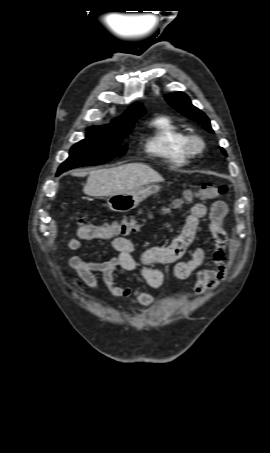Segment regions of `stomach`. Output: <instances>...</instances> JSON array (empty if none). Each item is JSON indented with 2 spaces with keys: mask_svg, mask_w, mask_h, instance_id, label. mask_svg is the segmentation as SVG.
<instances>
[{
  "mask_svg": "<svg viewBox=\"0 0 270 453\" xmlns=\"http://www.w3.org/2000/svg\"><path fill=\"white\" fill-rule=\"evenodd\" d=\"M159 189L158 186L153 185L124 194L112 195L108 197L107 205L114 212H129L136 208L148 196L157 193Z\"/></svg>",
  "mask_w": 270,
  "mask_h": 453,
  "instance_id": "obj_1",
  "label": "stomach"
}]
</instances>
